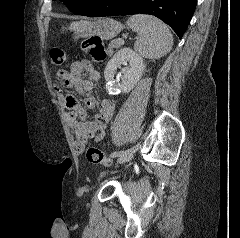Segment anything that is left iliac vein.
Listing matches in <instances>:
<instances>
[{
  "label": "left iliac vein",
  "instance_id": "obj_1",
  "mask_svg": "<svg viewBox=\"0 0 240 238\" xmlns=\"http://www.w3.org/2000/svg\"><path fill=\"white\" fill-rule=\"evenodd\" d=\"M138 148H139V144L136 145V148H135L134 150H132V152L129 153V155H124V154H123L122 156H120V158H118L117 162H118L119 164H122V163H125V162L130 161V160L133 158L135 152L138 150ZM103 175H104V173H102L101 176H103Z\"/></svg>",
  "mask_w": 240,
  "mask_h": 238
}]
</instances>
